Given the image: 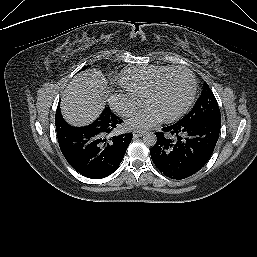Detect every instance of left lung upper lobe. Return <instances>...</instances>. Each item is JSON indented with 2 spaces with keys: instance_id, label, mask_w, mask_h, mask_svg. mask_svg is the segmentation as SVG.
<instances>
[{
  "instance_id": "1",
  "label": "left lung upper lobe",
  "mask_w": 257,
  "mask_h": 257,
  "mask_svg": "<svg viewBox=\"0 0 257 257\" xmlns=\"http://www.w3.org/2000/svg\"><path fill=\"white\" fill-rule=\"evenodd\" d=\"M208 119L221 120L220 109L213 92L205 83L203 91L192 110L182 120L196 123Z\"/></svg>"
}]
</instances>
